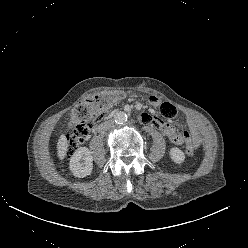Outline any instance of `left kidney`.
<instances>
[{
	"mask_svg": "<svg viewBox=\"0 0 248 248\" xmlns=\"http://www.w3.org/2000/svg\"><path fill=\"white\" fill-rule=\"evenodd\" d=\"M170 157L173 162L180 164L185 160L184 152L178 147H173L170 149Z\"/></svg>",
	"mask_w": 248,
	"mask_h": 248,
	"instance_id": "1",
	"label": "left kidney"
}]
</instances>
